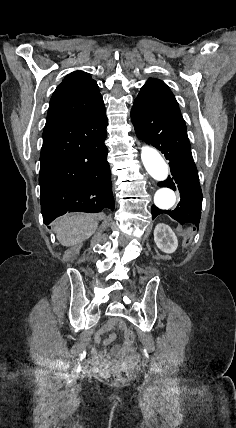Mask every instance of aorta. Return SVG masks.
<instances>
[{
  "mask_svg": "<svg viewBox=\"0 0 236 428\" xmlns=\"http://www.w3.org/2000/svg\"><path fill=\"white\" fill-rule=\"evenodd\" d=\"M141 159L149 175L157 181H164L168 176V165L159 154V152L149 146H143L141 149ZM176 195L169 188L159 189L154 196V204L161 210H168L174 206Z\"/></svg>",
  "mask_w": 236,
  "mask_h": 428,
  "instance_id": "aorta-1",
  "label": "aorta"
}]
</instances>
